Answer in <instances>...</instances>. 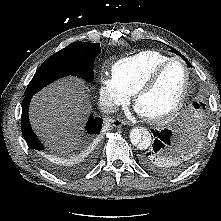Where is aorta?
Listing matches in <instances>:
<instances>
[{
  "label": "aorta",
  "mask_w": 221,
  "mask_h": 221,
  "mask_svg": "<svg viewBox=\"0 0 221 221\" xmlns=\"http://www.w3.org/2000/svg\"><path fill=\"white\" fill-rule=\"evenodd\" d=\"M130 141L140 150H146L149 148L152 138L149 131L140 128H133L130 132Z\"/></svg>",
  "instance_id": "obj_1"
}]
</instances>
